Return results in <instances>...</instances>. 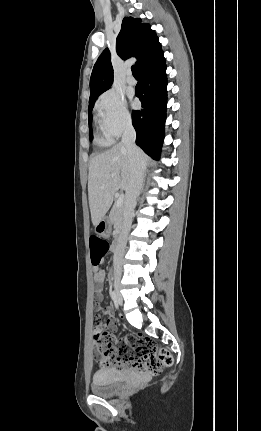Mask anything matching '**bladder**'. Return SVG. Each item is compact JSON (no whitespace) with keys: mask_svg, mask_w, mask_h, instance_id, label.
<instances>
[{"mask_svg":"<svg viewBox=\"0 0 261 431\" xmlns=\"http://www.w3.org/2000/svg\"><path fill=\"white\" fill-rule=\"evenodd\" d=\"M125 375L112 369H101L93 374L91 391L98 396H112L124 385Z\"/></svg>","mask_w":261,"mask_h":431,"instance_id":"bladder-1","label":"bladder"}]
</instances>
